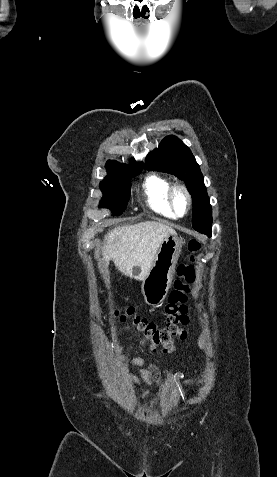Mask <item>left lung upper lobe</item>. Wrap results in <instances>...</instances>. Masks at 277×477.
Listing matches in <instances>:
<instances>
[{
  "mask_svg": "<svg viewBox=\"0 0 277 477\" xmlns=\"http://www.w3.org/2000/svg\"><path fill=\"white\" fill-rule=\"evenodd\" d=\"M145 168L167 172L186 183L193 199L192 224L195 230L212 225V208L204 178L193 154L176 136H167L147 155Z\"/></svg>",
  "mask_w": 277,
  "mask_h": 477,
  "instance_id": "1",
  "label": "left lung upper lobe"
}]
</instances>
